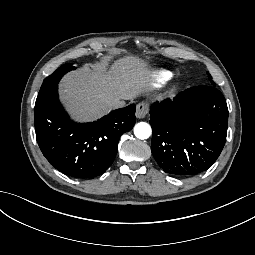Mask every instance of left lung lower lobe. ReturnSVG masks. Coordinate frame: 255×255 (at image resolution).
Wrapping results in <instances>:
<instances>
[{
	"mask_svg": "<svg viewBox=\"0 0 255 255\" xmlns=\"http://www.w3.org/2000/svg\"><path fill=\"white\" fill-rule=\"evenodd\" d=\"M151 151L166 172L193 176L220 155L227 135L228 108L213 86H195L150 107Z\"/></svg>",
	"mask_w": 255,
	"mask_h": 255,
	"instance_id": "1",
	"label": "left lung lower lobe"
}]
</instances>
